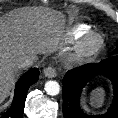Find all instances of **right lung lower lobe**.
Returning a JSON list of instances; mask_svg holds the SVG:
<instances>
[{"label": "right lung lower lobe", "instance_id": "right-lung-lower-lobe-1", "mask_svg": "<svg viewBox=\"0 0 118 118\" xmlns=\"http://www.w3.org/2000/svg\"><path fill=\"white\" fill-rule=\"evenodd\" d=\"M39 70L33 68L26 72L17 82L11 107L0 118H22L29 87L37 82Z\"/></svg>", "mask_w": 118, "mask_h": 118}]
</instances>
